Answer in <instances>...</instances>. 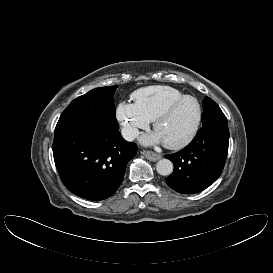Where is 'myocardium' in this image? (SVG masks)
I'll return each instance as SVG.
<instances>
[{
  "label": "myocardium",
  "mask_w": 273,
  "mask_h": 273,
  "mask_svg": "<svg viewBox=\"0 0 273 273\" xmlns=\"http://www.w3.org/2000/svg\"><path fill=\"white\" fill-rule=\"evenodd\" d=\"M185 100H192L196 103L197 106V118H196V122L194 124V127L192 129V131L189 133V135L184 138L182 141L177 142V143H165L164 145L169 148V149H174V150H178V149H182L184 147H186L188 144H190L193 139L196 137L199 128H200V124H201V120H202V107L201 104L199 103V101L191 95H184L180 98H177L173 101H171L168 105H166L164 107L163 110H161L157 116L155 117V119L153 120V128L154 130H156L157 126L159 125V123L166 119L172 112V110L180 103H182Z\"/></svg>",
  "instance_id": "obj_1"
}]
</instances>
